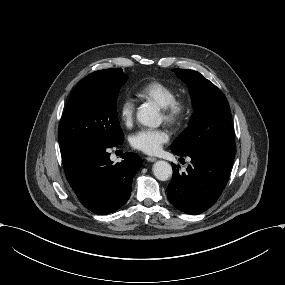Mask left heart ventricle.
Listing matches in <instances>:
<instances>
[{"label":"left heart ventricle","mask_w":285,"mask_h":285,"mask_svg":"<svg viewBox=\"0 0 285 285\" xmlns=\"http://www.w3.org/2000/svg\"><path fill=\"white\" fill-rule=\"evenodd\" d=\"M159 117H160V120L163 121L164 117L161 111H160Z\"/></svg>","instance_id":"left-heart-ventricle-1"}]
</instances>
